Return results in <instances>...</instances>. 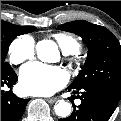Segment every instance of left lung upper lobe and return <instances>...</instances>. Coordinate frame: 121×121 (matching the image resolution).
Here are the masks:
<instances>
[{"mask_svg": "<svg viewBox=\"0 0 121 121\" xmlns=\"http://www.w3.org/2000/svg\"><path fill=\"white\" fill-rule=\"evenodd\" d=\"M59 30L79 35L88 48L84 68L70 88L96 87L121 98V46L105 27L87 21H73L58 26Z\"/></svg>", "mask_w": 121, "mask_h": 121, "instance_id": "5c2ea615", "label": "left lung upper lobe"}]
</instances>
